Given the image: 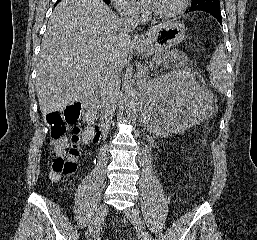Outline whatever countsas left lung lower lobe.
I'll list each match as a JSON object with an SVG mask.
<instances>
[{"instance_id":"obj_1","label":"left lung lower lobe","mask_w":257,"mask_h":240,"mask_svg":"<svg viewBox=\"0 0 257 240\" xmlns=\"http://www.w3.org/2000/svg\"><path fill=\"white\" fill-rule=\"evenodd\" d=\"M189 11H204L207 12L209 14H211L214 18L217 19V21L221 24L222 23V17H221V12L220 9H210V8H206V9H201V10H187V12Z\"/></svg>"}]
</instances>
